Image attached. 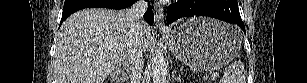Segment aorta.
I'll list each match as a JSON object with an SVG mask.
<instances>
[{"label":"aorta","mask_w":307,"mask_h":83,"mask_svg":"<svg viewBox=\"0 0 307 83\" xmlns=\"http://www.w3.org/2000/svg\"><path fill=\"white\" fill-rule=\"evenodd\" d=\"M153 83H165L167 76V64L161 48H157L152 59Z\"/></svg>","instance_id":"1"}]
</instances>
